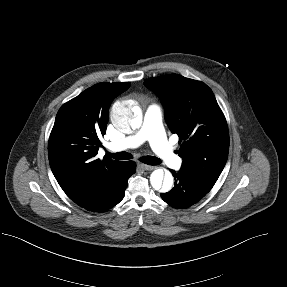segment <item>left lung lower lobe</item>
<instances>
[{
    "instance_id": "0a47b994",
    "label": "left lung lower lobe",
    "mask_w": 287,
    "mask_h": 287,
    "mask_svg": "<svg viewBox=\"0 0 287 287\" xmlns=\"http://www.w3.org/2000/svg\"><path fill=\"white\" fill-rule=\"evenodd\" d=\"M175 183L167 193H162V199L174 208H188L203 198L211 186L201 181L192 171L181 168L178 172L171 170Z\"/></svg>"
}]
</instances>
